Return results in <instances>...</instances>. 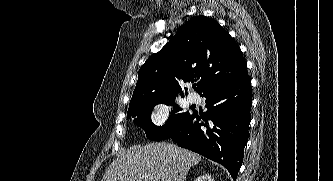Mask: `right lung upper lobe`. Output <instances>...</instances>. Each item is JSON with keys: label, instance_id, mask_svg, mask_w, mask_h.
<instances>
[{"label": "right lung upper lobe", "instance_id": "1", "mask_svg": "<svg viewBox=\"0 0 333 181\" xmlns=\"http://www.w3.org/2000/svg\"><path fill=\"white\" fill-rule=\"evenodd\" d=\"M247 75V64L233 38L215 20L193 17L140 68L129 109L151 100L175 98L179 91L175 77L184 82L201 78L197 92L202 95Z\"/></svg>", "mask_w": 333, "mask_h": 181}]
</instances>
